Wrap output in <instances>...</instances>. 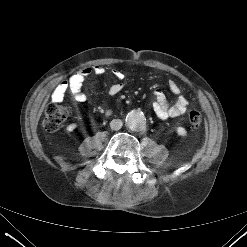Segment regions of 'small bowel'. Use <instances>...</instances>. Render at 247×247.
Here are the masks:
<instances>
[{"label": "small bowel", "instance_id": "1", "mask_svg": "<svg viewBox=\"0 0 247 247\" xmlns=\"http://www.w3.org/2000/svg\"><path fill=\"white\" fill-rule=\"evenodd\" d=\"M91 74L101 76L105 74V69L100 65H94L91 67H86L70 77L67 81L60 82L52 92V100L56 103L62 102L67 91L73 96V99L77 103H83L87 100V96L83 91V82ZM112 76L115 79V82L109 87V94L116 95L122 91L124 84L122 82L124 75L118 70H112ZM169 88L174 94L180 92L178 84L170 80ZM188 107V101L185 97H178L177 101L170 105L165 93L161 89H157L154 92V103L153 109L157 117L161 120L168 118H174L184 114Z\"/></svg>", "mask_w": 247, "mask_h": 247}]
</instances>
